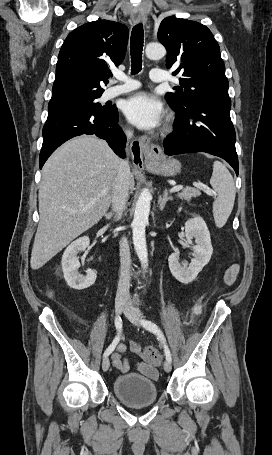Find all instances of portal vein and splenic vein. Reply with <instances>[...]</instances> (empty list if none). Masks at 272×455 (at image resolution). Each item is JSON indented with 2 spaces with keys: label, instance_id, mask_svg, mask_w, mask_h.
Wrapping results in <instances>:
<instances>
[{
  "label": "portal vein and splenic vein",
  "instance_id": "18ae733b",
  "mask_svg": "<svg viewBox=\"0 0 272 455\" xmlns=\"http://www.w3.org/2000/svg\"><path fill=\"white\" fill-rule=\"evenodd\" d=\"M182 188H183L182 185H177V186L172 187V188L170 189V192H171V193L178 192V191H180ZM212 195L214 196L215 194H212Z\"/></svg>",
  "mask_w": 272,
  "mask_h": 455
}]
</instances>
